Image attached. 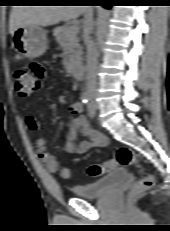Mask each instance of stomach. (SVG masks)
I'll list each match as a JSON object with an SVG mask.
<instances>
[{
	"mask_svg": "<svg viewBox=\"0 0 170 231\" xmlns=\"http://www.w3.org/2000/svg\"><path fill=\"white\" fill-rule=\"evenodd\" d=\"M12 44L24 57H39L47 50L46 31L36 25L19 27L12 34Z\"/></svg>",
	"mask_w": 170,
	"mask_h": 231,
	"instance_id": "stomach-1",
	"label": "stomach"
}]
</instances>
